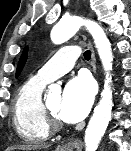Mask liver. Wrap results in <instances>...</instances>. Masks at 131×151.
<instances>
[{
	"label": "liver",
	"instance_id": "1",
	"mask_svg": "<svg viewBox=\"0 0 131 151\" xmlns=\"http://www.w3.org/2000/svg\"><path fill=\"white\" fill-rule=\"evenodd\" d=\"M49 145L43 144H33V145H22L11 147L8 150H21V151H36L47 148Z\"/></svg>",
	"mask_w": 131,
	"mask_h": 151
}]
</instances>
